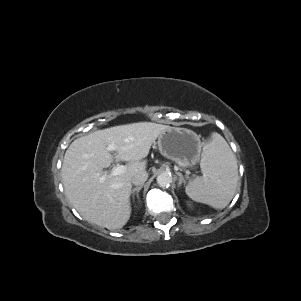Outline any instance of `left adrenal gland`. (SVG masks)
Masks as SVG:
<instances>
[{"instance_id":"obj_1","label":"left adrenal gland","mask_w":301,"mask_h":301,"mask_svg":"<svg viewBox=\"0 0 301 301\" xmlns=\"http://www.w3.org/2000/svg\"><path fill=\"white\" fill-rule=\"evenodd\" d=\"M176 174L179 176V183H178V187H180L182 185V183L185 184V180L183 175L180 172H176Z\"/></svg>"}]
</instances>
